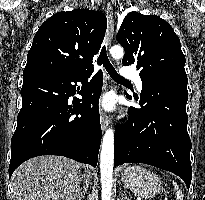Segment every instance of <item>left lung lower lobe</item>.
I'll return each mask as SVG.
<instances>
[{
    "label": "left lung lower lobe",
    "instance_id": "0a47b994",
    "mask_svg": "<svg viewBox=\"0 0 205 200\" xmlns=\"http://www.w3.org/2000/svg\"><path fill=\"white\" fill-rule=\"evenodd\" d=\"M187 83L185 74L142 81L141 109L132 107L128 120L116 125L114 166L128 162L153 165L178 175L189 188L192 145L187 132Z\"/></svg>",
    "mask_w": 205,
    "mask_h": 200
}]
</instances>
